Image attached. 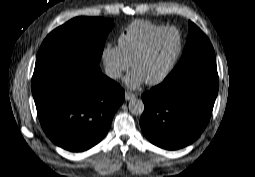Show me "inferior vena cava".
<instances>
[{
	"instance_id": "obj_1",
	"label": "inferior vena cava",
	"mask_w": 255,
	"mask_h": 177,
	"mask_svg": "<svg viewBox=\"0 0 255 177\" xmlns=\"http://www.w3.org/2000/svg\"><path fill=\"white\" fill-rule=\"evenodd\" d=\"M105 73L108 77L112 79H117L121 77V72L114 68H106Z\"/></svg>"
}]
</instances>
